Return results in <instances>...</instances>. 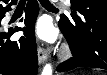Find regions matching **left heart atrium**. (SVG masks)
<instances>
[{"label": "left heart atrium", "mask_w": 107, "mask_h": 75, "mask_svg": "<svg viewBox=\"0 0 107 75\" xmlns=\"http://www.w3.org/2000/svg\"><path fill=\"white\" fill-rule=\"evenodd\" d=\"M34 32L39 39L45 42H53L57 37V31L46 17H41L36 22Z\"/></svg>", "instance_id": "1"}]
</instances>
